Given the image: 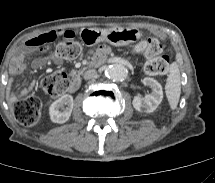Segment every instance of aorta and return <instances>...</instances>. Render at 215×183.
<instances>
[{"instance_id": "aorta-1", "label": "aorta", "mask_w": 215, "mask_h": 183, "mask_svg": "<svg viewBox=\"0 0 215 183\" xmlns=\"http://www.w3.org/2000/svg\"><path fill=\"white\" fill-rule=\"evenodd\" d=\"M105 76L113 81H124L128 76V69L122 64L108 65L104 70Z\"/></svg>"}]
</instances>
